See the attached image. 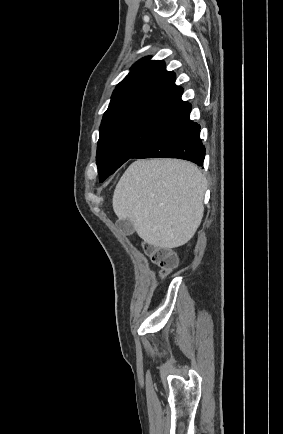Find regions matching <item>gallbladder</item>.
Masks as SVG:
<instances>
[{
	"label": "gallbladder",
	"mask_w": 283,
	"mask_h": 434,
	"mask_svg": "<svg viewBox=\"0 0 283 434\" xmlns=\"http://www.w3.org/2000/svg\"><path fill=\"white\" fill-rule=\"evenodd\" d=\"M117 227L125 234L132 235L135 231L133 224L128 220H119L117 222Z\"/></svg>",
	"instance_id": "1"
}]
</instances>
